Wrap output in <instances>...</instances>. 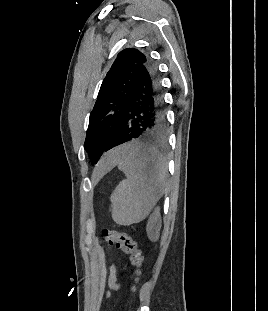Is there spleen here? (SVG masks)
I'll use <instances>...</instances> for the list:
<instances>
[{"mask_svg": "<svg viewBox=\"0 0 268 311\" xmlns=\"http://www.w3.org/2000/svg\"><path fill=\"white\" fill-rule=\"evenodd\" d=\"M113 157L125 174L110 196L112 219L119 225L144 220L167 187L166 160L143 140L117 144Z\"/></svg>", "mask_w": 268, "mask_h": 311, "instance_id": "obj_1", "label": "spleen"}]
</instances>
